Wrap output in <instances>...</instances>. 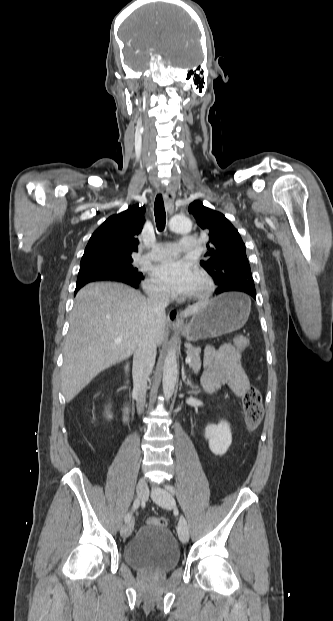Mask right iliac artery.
Masks as SVG:
<instances>
[{"instance_id": "right-iliac-artery-1", "label": "right iliac artery", "mask_w": 333, "mask_h": 621, "mask_svg": "<svg viewBox=\"0 0 333 621\" xmlns=\"http://www.w3.org/2000/svg\"><path fill=\"white\" fill-rule=\"evenodd\" d=\"M139 506H140V499L137 498L133 503L131 511L127 513V515L125 516V523H128L131 521L133 511L138 509Z\"/></svg>"}]
</instances>
